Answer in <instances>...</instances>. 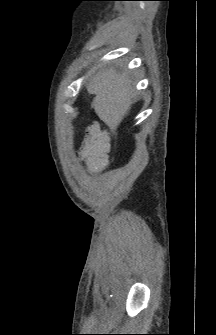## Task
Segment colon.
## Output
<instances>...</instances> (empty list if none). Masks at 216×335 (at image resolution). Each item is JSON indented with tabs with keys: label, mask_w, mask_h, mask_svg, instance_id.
<instances>
[{
	"label": "colon",
	"mask_w": 216,
	"mask_h": 335,
	"mask_svg": "<svg viewBox=\"0 0 216 335\" xmlns=\"http://www.w3.org/2000/svg\"><path fill=\"white\" fill-rule=\"evenodd\" d=\"M109 142L104 131L96 124L89 127L84 138L81 167L83 178H96V172H108L111 164L109 158Z\"/></svg>",
	"instance_id": "colon-1"
}]
</instances>
